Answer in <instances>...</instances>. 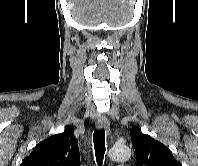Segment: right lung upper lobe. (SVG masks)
<instances>
[{
  "label": "right lung upper lobe",
  "instance_id": "obj_1",
  "mask_svg": "<svg viewBox=\"0 0 198 166\" xmlns=\"http://www.w3.org/2000/svg\"><path fill=\"white\" fill-rule=\"evenodd\" d=\"M21 166H80V154L73 129L68 127L63 133L37 144Z\"/></svg>",
  "mask_w": 198,
  "mask_h": 166
}]
</instances>
